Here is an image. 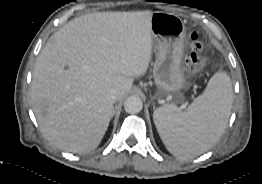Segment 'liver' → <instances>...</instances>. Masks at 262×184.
Returning <instances> with one entry per match:
<instances>
[{
	"label": "liver",
	"mask_w": 262,
	"mask_h": 184,
	"mask_svg": "<svg viewBox=\"0 0 262 184\" xmlns=\"http://www.w3.org/2000/svg\"><path fill=\"white\" fill-rule=\"evenodd\" d=\"M152 11L97 12L71 20L40 52L31 83L33 111L44 137L62 150L98 147L120 100L152 56Z\"/></svg>",
	"instance_id": "liver-1"
}]
</instances>
